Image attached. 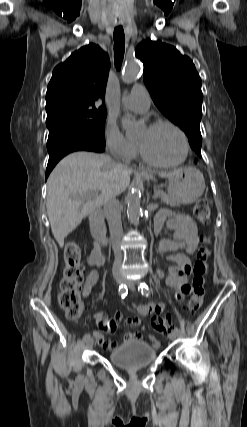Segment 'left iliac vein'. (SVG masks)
<instances>
[{
	"label": "left iliac vein",
	"mask_w": 247,
	"mask_h": 427,
	"mask_svg": "<svg viewBox=\"0 0 247 427\" xmlns=\"http://www.w3.org/2000/svg\"><path fill=\"white\" fill-rule=\"evenodd\" d=\"M124 283L127 285V287L131 290V291H135L136 290V288H135V284H134V282L133 281H131V280H124ZM178 334H179V332H176L175 330H173L169 335H168V337H169V339L170 340H175L176 338H177V336H178Z\"/></svg>",
	"instance_id": "obj_1"
}]
</instances>
